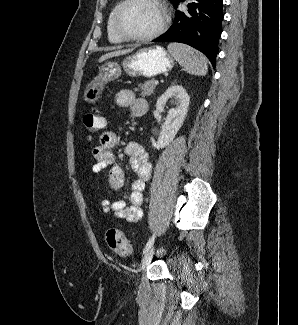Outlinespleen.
<instances>
[{
    "mask_svg": "<svg viewBox=\"0 0 298 325\" xmlns=\"http://www.w3.org/2000/svg\"><path fill=\"white\" fill-rule=\"evenodd\" d=\"M167 50L179 62L180 66H184L189 74H198V76H205L207 74V58L202 52H198L192 46L182 44V42H170Z\"/></svg>",
    "mask_w": 298,
    "mask_h": 325,
    "instance_id": "obj_1",
    "label": "spleen"
}]
</instances>
